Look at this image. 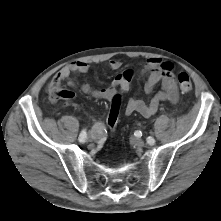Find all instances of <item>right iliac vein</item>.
I'll use <instances>...</instances> for the list:
<instances>
[{
  "label": "right iliac vein",
  "mask_w": 221,
  "mask_h": 221,
  "mask_svg": "<svg viewBox=\"0 0 221 221\" xmlns=\"http://www.w3.org/2000/svg\"><path fill=\"white\" fill-rule=\"evenodd\" d=\"M97 139V136H96V134L94 133V132H90L89 134H88V140L90 141V142H93V141H95Z\"/></svg>",
  "instance_id": "right-iliac-vein-1"
}]
</instances>
